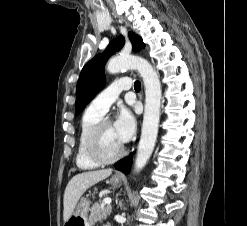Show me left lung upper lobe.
Returning a JSON list of instances; mask_svg holds the SVG:
<instances>
[{
    "instance_id": "left-lung-upper-lobe-1",
    "label": "left lung upper lobe",
    "mask_w": 247,
    "mask_h": 226,
    "mask_svg": "<svg viewBox=\"0 0 247 226\" xmlns=\"http://www.w3.org/2000/svg\"><path fill=\"white\" fill-rule=\"evenodd\" d=\"M129 39L135 52L145 47L140 36L128 33ZM125 43L124 37L120 36L110 42L102 54L96 55L83 67L76 88V114H79L86 105L99 93L105 85L104 65L106 60L116 51L120 50Z\"/></svg>"
}]
</instances>
